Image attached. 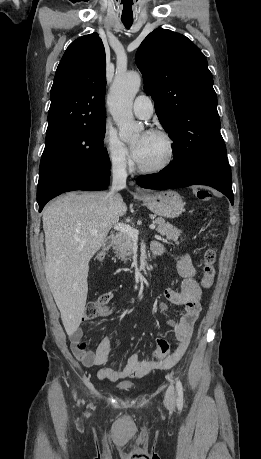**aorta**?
I'll return each mask as SVG.
<instances>
[{
	"instance_id": "aorta-1",
	"label": "aorta",
	"mask_w": 261,
	"mask_h": 459,
	"mask_svg": "<svg viewBox=\"0 0 261 459\" xmlns=\"http://www.w3.org/2000/svg\"><path fill=\"white\" fill-rule=\"evenodd\" d=\"M140 85L141 77L137 72L118 74L107 99L110 113L119 128V136L126 142L136 138L143 130V124L136 122L132 113L133 100Z\"/></svg>"
}]
</instances>
